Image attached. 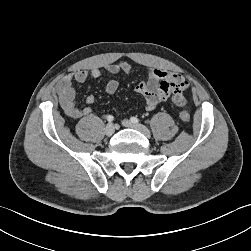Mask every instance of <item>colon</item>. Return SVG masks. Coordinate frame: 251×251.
<instances>
[{
	"instance_id": "colon-1",
	"label": "colon",
	"mask_w": 251,
	"mask_h": 251,
	"mask_svg": "<svg viewBox=\"0 0 251 251\" xmlns=\"http://www.w3.org/2000/svg\"><path fill=\"white\" fill-rule=\"evenodd\" d=\"M179 116H180V119L186 123L189 122L191 119L190 114L185 110L180 111Z\"/></svg>"
}]
</instances>
